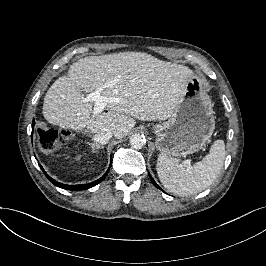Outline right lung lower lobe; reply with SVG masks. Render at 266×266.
<instances>
[{"label": "right lung lower lobe", "mask_w": 266, "mask_h": 266, "mask_svg": "<svg viewBox=\"0 0 266 266\" xmlns=\"http://www.w3.org/2000/svg\"><path fill=\"white\" fill-rule=\"evenodd\" d=\"M34 125H35V121L33 120V123H32V135H33V128H34ZM39 166L41 167L42 171L44 172V174L46 175V177L56 186L60 187V188H63V189H67V190H72V191H78V190H85V189H88V188H91L95 185H97L98 183H100L107 175L108 171L98 180L92 182V183H89V184H80V185H66V184H62V183H59L57 181H55L54 179H52L51 177L48 176V174L44 171L43 167L39 164Z\"/></svg>", "instance_id": "98d812e1"}]
</instances>
